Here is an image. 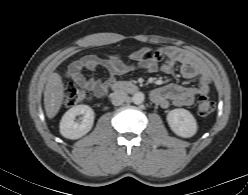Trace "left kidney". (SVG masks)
<instances>
[{
  "label": "left kidney",
  "instance_id": "1",
  "mask_svg": "<svg viewBox=\"0 0 248 195\" xmlns=\"http://www.w3.org/2000/svg\"><path fill=\"white\" fill-rule=\"evenodd\" d=\"M167 122L171 130L178 136L190 138L197 132V122L186 109H173L167 114Z\"/></svg>",
  "mask_w": 248,
  "mask_h": 195
}]
</instances>
